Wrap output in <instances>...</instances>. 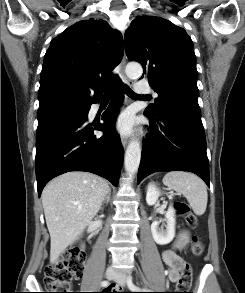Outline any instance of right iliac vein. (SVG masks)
I'll list each match as a JSON object with an SVG mask.
<instances>
[{
    "label": "right iliac vein",
    "mask_w": 245,
    "mask_h": 293,
    "mask_svg": "<svg viewBox=\"0 0 245 293\" xmlns=\"http://www.w3.org/2000/svg\"><path fill=\"white\" fill-rule=\"evenodd\" d=\"M116 274H117V273H116L113 269H110V268L107 269V270H106V273H105L106 278H107V279H110V280L113 279V278L116 276Z\"/></svg>",
    "instance_id": "63e3f726"
}]
</instances>
